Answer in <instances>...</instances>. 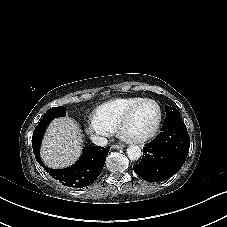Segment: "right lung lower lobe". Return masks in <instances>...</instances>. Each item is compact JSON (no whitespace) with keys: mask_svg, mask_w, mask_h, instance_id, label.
<instances>
[{"mask_svg":"<svg viewBox=\"0 0 227 227\" xmlns=\"http://www.w3.org/2000/svg\"><path fill=\"white\" fill-rule=\"evenodd\" d=\"M48 124H38L33 132L32 146L36 160L54 179L61 182L64 186L73 188H83L93 184L100 175L109 147L99 146L85 147L83 155L74 165L65 169H50L43 165L39 156L40 143Z\"/></svg>","mask_w":227,"mask_h":227,"instance_id":"98d812e1","label":"right lung lower lobe"}]
</instances>
